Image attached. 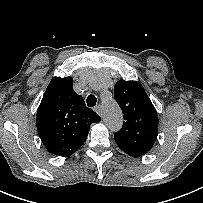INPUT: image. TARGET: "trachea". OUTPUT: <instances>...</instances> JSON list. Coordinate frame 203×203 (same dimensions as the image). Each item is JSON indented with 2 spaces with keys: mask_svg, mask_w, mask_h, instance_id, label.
<instances>
[{
  "mask_svg": "<svg viewBox=\"0 0 203 203\" xmlns=\"http://www.w3.org/2000/svg\"><path fill=\"white\" fill-rule=\"evenodd\" d=\"M86 102H87V106L94 107L96 105L97 99L94 95H89L87 97Z\"/></svg>",
  "mask_w": 203,
  "mask_h": 203,
  "instance_id": "3493384b",
  "label": "trachea"
}]
</instances>
